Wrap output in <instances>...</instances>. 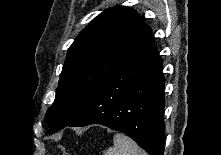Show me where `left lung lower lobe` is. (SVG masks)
Listing matches in <instances>:
<instances>
[{
	"mask_svg": "<svg viewBox=\"0 0 221 155\" xmlns=\"http://www.w3.org/2000/svg\"><path fill=\"white\" fill-rule=\"evenodd\" d=\"M164 81L162 60L151 36L104 81L67 126L101 124L125 133L149 155H163Z\"/></svg>",
	"mask_w": 221,
	"mask_h": 155,
	"instance_id": "left-lung-lower-lobe-1",
	"label": "left lung lower lobe"
}]
</instances>
